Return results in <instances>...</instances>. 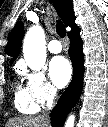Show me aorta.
<instances>
[{"instance_id": "obj_1", "label": "aorta", "mask_w": 108, "mask_h": 127, "mask_svg": "<svg viewBox=\"0 0 108 127\" xmlns=\"http://www.w3.org/2000/svg\"><path fill=\"white\" fill-rule=\"evenodd\" d=\"M23 56L31 70L39 71L45 66V34L41 26L34 25L27 31L23 41ZM74 122L75 115H70L65 122V127H74Z\"/></svg>"}]
</instances>
